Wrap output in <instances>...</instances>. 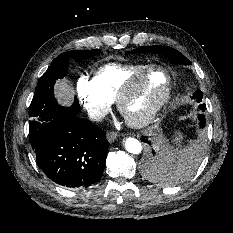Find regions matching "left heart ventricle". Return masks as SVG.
Instances as JSON below:
<instances>
[{
    "label": "left heart ventricle",
    "mask_w": 233,
    "mask_h": 233,
    "mask_svg": "<svg viewBox=\"0 0 233 233\" xmlns=\"http://www.w3.org/2000/svg\"><path fill=\"white\" fill-rule=\"evenodd\" d=\"M166 78L162 73L153 75L151 80L137 90L126 102L124 112L129 117H136L146 111L162 92Z\"/></svg>",
    "instance_id": "b2bd125f"
}]
</instances>
